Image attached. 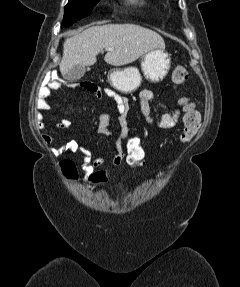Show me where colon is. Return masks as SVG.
Wrapping results in <instances>:
<instances>
[{"instance_id": "1", "label": "colon", "mask_w": 240, "mask_h": 287, "mask_svg": "<svg viewBox=\"0 0 240 287\" xmlns=\"http://www.w3.org/2000/svg\"><path fill=\"white\" fill-rule=\"evenodd\" d=\"M189 73L186 68L177 66L172 71V82L175 85H181L187 81ZM95 84L89 81L70 84L71 88H82L91 91ZM185 113L183 115V130L180 136L181 141L189 142L197 134L200 127V114L196 111L191 103H183ZM123 150L125 154V163L133 171H139L146 165V151L143 143L139 137L128 136L126 137ZM63 171L69 175L75 172L74 165L70 161H65L61 164ZM91 183H104L107 181L105 172L93 173L89 176Z\"/></svg>"}]
</instances>
